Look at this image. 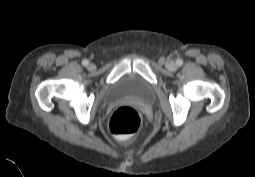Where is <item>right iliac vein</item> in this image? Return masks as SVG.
I'll list each match as a JSON object with an SVG mask.
<instances>
[{"label": "right iliac vein", "instance_id": "63e3f726", "mask_svg": "<svg viewBox=\"0 0 255 177\" xmlns=\"http://www.w3.org/2000/svg\"><path fill=\"white\" fill-rule=\"evenodd\" d=\"M95 68H96V66H95V64H93V63H91V64L88 65V69H89L90 71L95 70Z\"/></svg>", "mask_w": 255, "mask_h": 177}]
</instances>
